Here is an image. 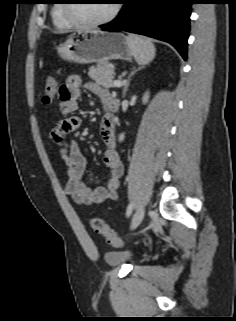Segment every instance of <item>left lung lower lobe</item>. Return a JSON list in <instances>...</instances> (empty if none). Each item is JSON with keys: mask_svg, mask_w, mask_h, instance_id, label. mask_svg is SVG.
Masks as SVG:
<instances>
[{"mask_svg": "<svg viewBox=\"0 0 236 321\" xmlns=\"http://www.w3.org/2000/svg\"><path fill=\"white\" fill-rule=\"evenodd\" d=\"M120 14L103 31H127L166 41L187 59L192 0H122Z\"/></svg>", "mask_w": 236, "mask_h": 321, "instance_id": "1", "label": "left lung lower lobe"}]
</instances>
